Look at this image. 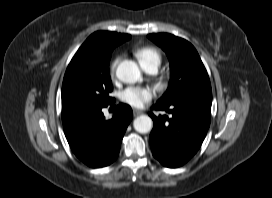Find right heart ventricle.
I'll return each mask as SVG.
<instances>
[{
  "instance_id": "right-heart-ventricle-1",
  "label": "right heart ventricle",
  "mask_w": 272,
  "mask_h": 198,
  "mask_svg": "<svg viewBox=\"0 0 272 198\" xmlns=\"http://www.w3.org/2000/svg\"><path fill=\"white\" fill-rule=\"evenodd\" d=\"M143 68L161 63V53L154 47L144 46L137 48L134 52Z\"/></svg>"
}]
</instances>
